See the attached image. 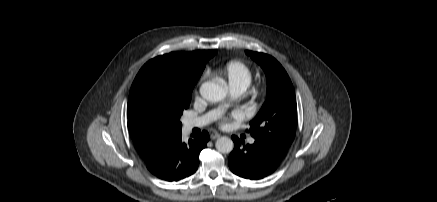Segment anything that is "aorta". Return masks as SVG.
Here are the masks:
<instances>
[{"mask_svg": "<svg viewBox=\"0 0 437 202\" xmlns=\"http://www.w3.org/2000/svg\"><path fill=\"white\" fill-rule=\"evenodd\" d=\"M201 96L209 102H218L225 98L226 87L215 82H204L200 86ZM216 149L223 154L230 153L234 148V143L229 137H220L215 143Z\"/></svg>", "mask_w": 437, "mask_h": 202, "instance_id": "obj_1", "label": "aorta"}]
</instances>
